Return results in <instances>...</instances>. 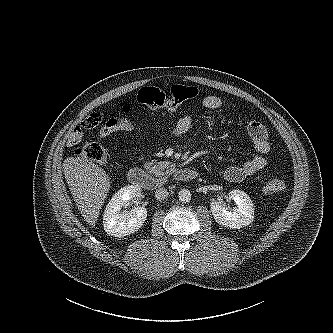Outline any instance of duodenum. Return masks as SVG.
Masks as SVG:
<instances>
[{"label":"duodenum","instance_id":"duodenum-1","mask_svg":"<svg viewBox=\"0 0 333 333\" xmlns=\"http://www.w3.org/2000/svg\"><path fill=\"white\" fill-rule=\"evenodd\" d=\"M198 172L191 168H183L176 173V179L183 182H188L198 177ZM129 181L136 186L144 187L147 189H156L163 186L164 182L158 177H155L144 169L134 167L128 172Z\"/></svg>","mask_w":333,"mask_h":333}]
</instances>
